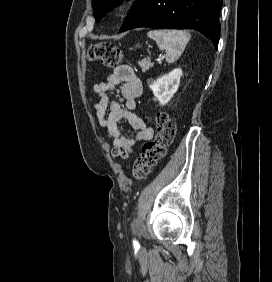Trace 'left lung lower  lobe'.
Wrapping results in <instances>:
<instances>
[{
	"label": "left lung lower lobe",
	"instance_id": "1",
	"mask_svg": "<svg viewBox=\"0 0 272 282\" xmlns=\"http://www.w3.org/2000/svg\"><path fill=\"white\" fill-rule=\"evenodd\" d=\"M223 0H136L120 32L137 27L195 28L218 46Z\"/></svg>",
	"mask_w": 272,
	"mask_h": 282
}]
</instances>
